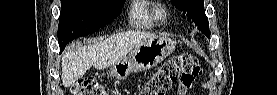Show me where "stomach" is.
I'll list each match as a JSON object with an SVG mask.
<instances>
[{
  "instance_id": "obj_1",
  "label": "stomach",
  "mask_w": 277,
  "mask_h": 95,
  "mask_svg": "<svg viewBox=\"0 0 277 95\" xmlns=\"http://www.w3.org/2000/svg\"><path fill=\"white\" fill-rule=\"evenodd\" d=\"M174 40L155 36L141 42L127 56L110 67V77L126 79L133 72L149 70L162 62L175 50Z\"/></svg>"
}]
</instances>
